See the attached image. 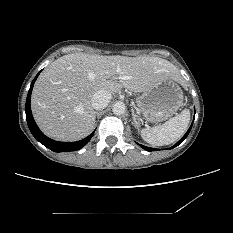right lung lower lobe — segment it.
Masks as SVG:
<instances>
[{"mask_svg": "<svg viewBox=\"0 0 233 233\" xmlns=\"http://www.w3.org/2000/svg\"><path fill=\"white\" fill-rule=\"evenodd\" d=\"M40 72L37 74V76L34 78V80L31 83V86H30V89H29V92L27 95L26 105H25L26 120H27V124H28V127H29L32 135L36 138L37 141H39L45 147L49 148L50 150H52L54 152L76 151V150L81 149L90 141V139L92 138L95 131L80 141L59 142V141H54V140L48 138L47 136H45L40 131L36 122L34 121V118L32 116V112H31V107H30V98H31L33 85H34L38 75L40 74Z\"/></svg>", "mask_w": 233, "mask_h": 233, "instance_id": "obj_1", "label": "right lung lower lobe"}]
</instances>
